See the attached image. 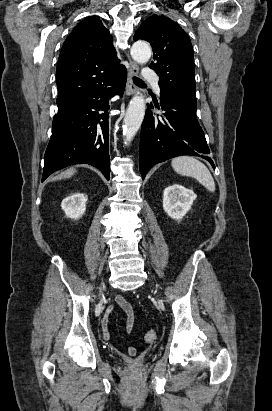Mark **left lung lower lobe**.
<instances>
[{"label": "left lung lower lobe", "instance_id": "left-lung-lower-lobe-1", "mask_svg": "<svg viewBox=\"0 0 272 411\" xmlns=\"http://www.w3.org/2000/svg\"><path fill=\"white\" fill-rule=\"evenodd\" d=\"M160 96V106L164 113L154 115L147 109L141 127L139 164L143 179L153 165L167 159L210 153L204 132L196 118V106L164 92H160ZM201 157L215 168L210 158Z\"/></svg>", "mask_w": 272, "mask_h": 411}]
</instances>
